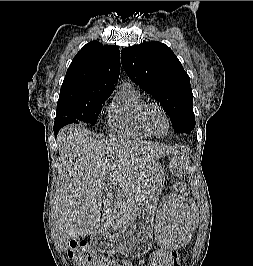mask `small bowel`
Here are the masks:
<instances>
[{"mask_svg":"<svg viewBox=\"0 0 253 266\" xmlns=\"http://www.w3.org/2000/svg\"><path fill=\"white\" fill-rule=\"evenodd\" d=\"M124 266H132V264L131 263H129V262H124Z\"/></svg>","mask_w":253,"mask_h":266,"instance_id":"obj_1","label":"small bowel"}]
</instances>
